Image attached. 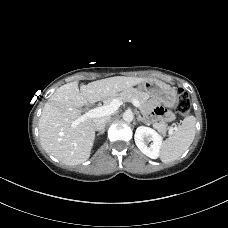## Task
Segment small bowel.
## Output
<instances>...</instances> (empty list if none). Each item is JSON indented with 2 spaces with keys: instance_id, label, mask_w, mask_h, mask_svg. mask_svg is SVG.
Masks as SVG:
<instances>
[{
  "instance_id": "c3829d8e",
  "label": "small bowel",
  "mask_w": 228,
  "mask_h": 228,
  "mask_svg": "<svg viewBox=\"0 0 228 228\" xmlns=\"http://www.w3.org/2000/svg\"><path fill=\"white\" fill-rule=\"evenodd\" d=\"M152 115L158 116V117L164 118V119H166V116H167L165 111L162 108H160V107H155L153 112H152Z\"/></svg>"
}]
</instances>
